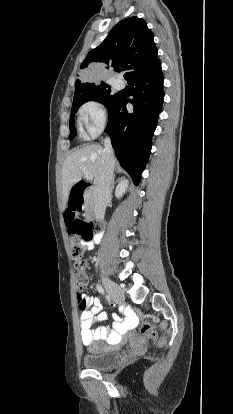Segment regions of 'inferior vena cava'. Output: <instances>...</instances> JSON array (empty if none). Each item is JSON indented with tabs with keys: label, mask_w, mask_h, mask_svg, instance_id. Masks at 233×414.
Wrapping results in <instances>:
<instances>
[{
	"label": "inferior vena cava",
	"mask_w": 233,
	"mask_h": 414,
	"mask_svg": "<svg viewBox=\"0 0 233 414\" xmlns=\"http://www.w3.org/2000/svg\"><path fill=\"white\" fill-rule=\"evenodd\" d=\"M115 166V157L111 140L106 137L102 154L101 166L94 179V213L98 220L105 215L106 205L111 199V182Z\"/></svg>",
	"instance_id": "obj_1"
}]
</instances>
